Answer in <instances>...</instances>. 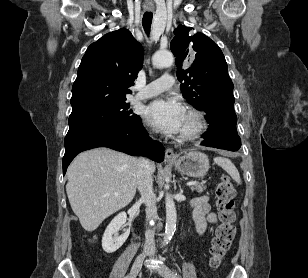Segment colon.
<instances>
[{
	"label": "colon",
	"instance_id": "colon-1",
	"mask_svg": "<svg viewBox=\"0 0 308 278\" xmlns=\"http://www.w3.org/2000/svg\"><path fill=\"white\" fill-rule=\"evenodd\" d=\"M234 197V187L230 179L225 176L216 187L219 224L214 231L209 249L210 265L213 268L220 266L235 237Z\"/></svg>",
	"mask_w": 308,
	"mask_h": 278
}]
</instances>
